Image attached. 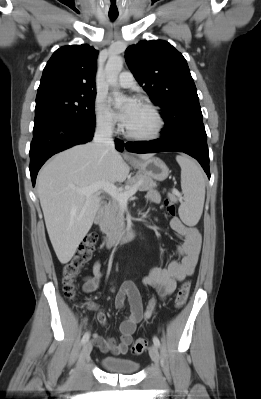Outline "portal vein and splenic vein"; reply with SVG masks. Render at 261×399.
<instances>
[{"label": "portal vein and splenic vein", "instance_id": "portal-vein-and-splenic-vein-1", "mask_svg": "<svg viewBox=\"0 0 261 399\" xmlns=\"http://www.w3.org/2000/svg\"><path fill=\"white\" fill-rule=\"evenodd\" d=\"M137 187L138 185H134L127 191H122L118 189L114 184L108 182H100L86 188L77 189V191L81 194L91 195L95 192H98L99 190H103L108 193L112 198L116 199L118 202L126 203L128 199L137 192Z\"/></svg>", "mask_w": 261, "mask_h": 399}]
</instances>
